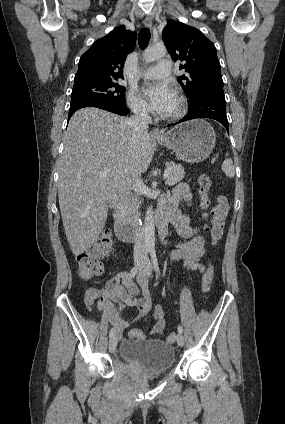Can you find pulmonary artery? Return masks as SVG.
Masks as SVG:
<instances>
[{
    "label": "pulmonary artery",
    "mask_w": 285,
    "mask_h": 424,
    "mask_svg": "<svg viewBox=\"0 0 285 424\" xmlns=\"http://www.w3.org/2000/svg\"><path fill=\"white\" fill-rule=\"evenodd\" d=\"M172 69V62L168 59L161 60L158 65L145 69L142 73L144 78L159 79L167 77Z\"/></svg>",
    "instance_id": "obj_1"
}]
</instances>
